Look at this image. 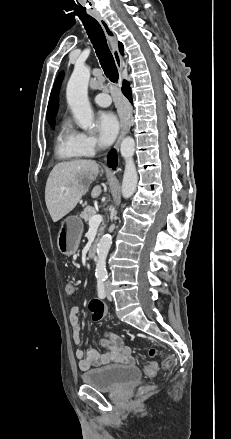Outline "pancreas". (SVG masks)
Returning a JSON list of instances; mask_svg holds the SVG:
<instances>
[{
	"mask_svg": "<svg viewBox=\"0 0 231 439\" xmlns=\"http://www.w3.org/2000/svg\"><path fill=\"white\" fill-rule=\"evenodd\" d=\"M96 215V210L93 207L87 206L81 213L80 217L86 222L89 223V220L91 217ZM105 224L103 223L102 226L99 229V234L104 230Z\"/></svg>",
	"mask_w": 231,
	"mask_h": 439,
	"instance_id": "obj_1",
	"label": "pancreas"
}]
</instances>
